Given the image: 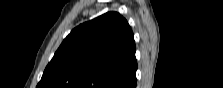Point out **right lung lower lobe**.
Listing matches in <instances>:
<instances>
[{
	"label": "right lung lower lobe",
	"mask_w": 223,
	"mask_h": 88,
	"mask_svg": "<svg viewBox=\"0 0 223 88\" xmlns=\"http://www.w3.org/2000/svg\"><path fill=\"white\" fill-rule=\"evenodd\" d=\"M136 84H137V81H136V79H134L132 82V88H136Z\"/></svg>",
	"instance_id": "98d812e1"
}]
</instances>
